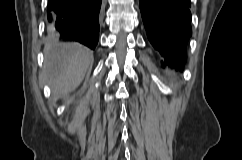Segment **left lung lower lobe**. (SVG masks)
I'll return each mask as SVG.
<instances>
[{
  "label": "left lung lower lobe",
  "instance_id": "0a47b994",
  "mask_svg": "<svg viewBox=\"0 0 242 160\" xmlns=\"http://www.w3.org/2000/svg\"><path fill=\"white\" fill-rule=\"evenodd\" d=\"M190 6V0H140L149 41L166 64L181 70L192 34Z\"/></svg>",
  "mask_w": 242,
  "mask_h": 160
}]
</instances>
